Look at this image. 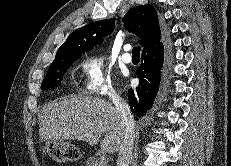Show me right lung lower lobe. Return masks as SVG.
<instances>
[{"label":"right lung lower lobe","instance_id":"1","mask_svg":"<svg viewBox=\"0 0 231 166\" xmlns=\"http://www.w3.org/2000/svg\"><path fill=\"white\" fill-rule=\"evenodd\" d=\"M163 60V43L150 53L142 54L141 65L136 70L139 86L128 90L131 111L138 117L144 116L153 106L159 90Z\"/></svg>","mask_w":231,"mask_h":166}]
</instances>
